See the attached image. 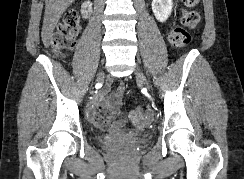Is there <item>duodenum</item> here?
Segmentation results:
<instances>
[{
  "instance_id": "1",
  "label": "duodenum",
  "mask_w": 244,
  "mask_h": 179,
  "mask_svg": "<svg viewBox=\"0 0 244 179\" xmlns=\"http://www.w3.org/2000/svg\"><path fill=\"white\" fill-rule=\"evenodd\" d=\"M93 6V2L92 1H85L83 3V7H82V13L83 15H85V17H89L91 12H92V7Z\"/></svg>"
}]
</instances>
